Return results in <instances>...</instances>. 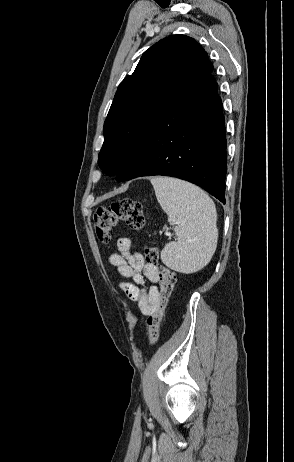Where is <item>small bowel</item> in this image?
<instances>
[{
	"mask_svg": "<svg viewBox=\"0 0 294 462\" xmlns=\"http://www.w3.org/2000/svg\"><path fill=\"white\" fill-rule=\"evenodd\" d=\"M132 241L129 237L117 240V253L110 255V262L117 268V274L122 278L131 279L121 282L120 287L131 301L138 304L142 314L152 315L159 303L158 270L153 264L145 263L143 256L132 252ZM151 285L145 286V281Z\"/></svg>",
	"mask_w": 294,
	"mask_h": 462,
	"instance_id": "c3829d8e",
	"label": "small bowel"
}]
</instances>
